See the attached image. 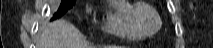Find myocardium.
Here are the masks:
<instances>
[{"instance_id":"1","label":"myocardium","mask_w":213,"mask_h":48,"mask_svg":"<svg viewBox=\"0 0 213 48\" xmlns=\"http://www.w3.org/2000/svg\"><path fill=\"white\" fill-rule=\"evenodd\" d=\"M145 13L152 14L153 17L157 21V26L153 31H148L145 27V24L143 21V15ZM134 18H135L137 26L146 36L154 35L161 28V19H160L158 12L156 11V9H154L153 7H151L147 4H141L138 6V8L134 14Z\"/></svg>"}]
</instances>
